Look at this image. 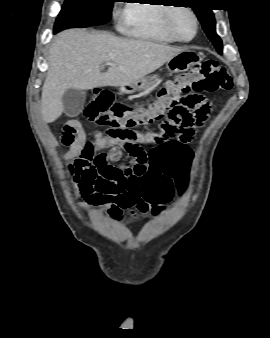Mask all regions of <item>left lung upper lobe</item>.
<instances>
[{"label":"left lung upper lobe","mask_w":270,"mask_h":338,"mask_svg":"<svg viewBox=\"0 0 270 338\" xmlns=\"http://www.w3.org/2000/svg\"><path fill=\"white\" fill-rule=\"evenodd\" d=\"M197 2L193 8L194 12L196 13L199 21L202 24L204 31L206 32L210 41L214 44L218 53L222 54V41L220 37L216 34L215 31V18L212 12V9L207 7L211 1L209 0H197Z\"/></svg>","instance_id":"obj_1"}]
</instances>
